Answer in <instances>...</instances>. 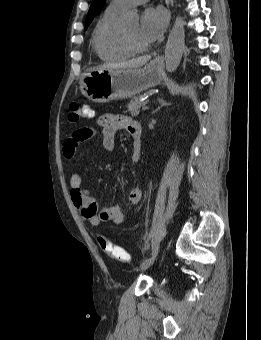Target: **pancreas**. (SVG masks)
<instances>
[{
  "label": "pancreas",
  "mask_w": 261,
  "mask_h": 340,
  "mask_svg": "<svg viewBox=\"0 0 261 340\" xmlns=\"http://www.w3.org/2000/svg\"><path fill=\"white\" fill-rule=\"evenodd\" d=\"M146 103L147 101H142L141 96L134 97L127 105L128 111L131 113L132 116L135 117L140 113V108L143 107Z\"/></svg>",
  "instance_id": "obj_1"
}]
</instances>
